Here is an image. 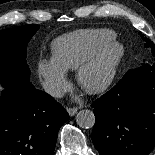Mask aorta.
Listing matches in <instances>:
<instances>
[{"label": "aorta", "mask_w": 155, "mask_h": 155, "mask_svg": "<svg viewBox=\"0 0 155 155\" xmlns=\"http://www.w3.org/2000/svg\"><path fill=\"white\" fill-rule=\"evenodd\" d=\"M76 123L81 128H92L95 124V115L91 110L83 109L77 113Z\"/></svg>", "instance_id": "aorta-1"}]
</instances>
